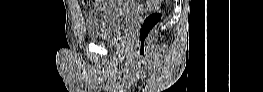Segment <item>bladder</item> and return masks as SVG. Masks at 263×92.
I'll list each match as a JSON object with an SVG mask.
<instances>
[{
  "instance_id": "obj_1",
  "label": "bladder",
  "mask_w": 263,
  "mask_h": 92,
  "mask_svg": "<svg viewBox=\"0 0 263 92\" xmlns=\"http://www.w3.org/2000/svg\"><path fill=\"white\" fill-rule=\"evenodd\" d=\"M105 6L91 10L85 21L88 38L108 46H114L128 33L138 13L118 6L117 1H103Z\"/></svg>"
}]
</instances>
